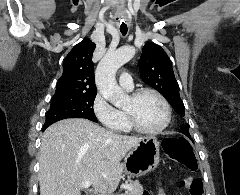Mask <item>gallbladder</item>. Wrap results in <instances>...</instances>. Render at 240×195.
<instances>
[{
	"instance_id": "obj_1",
	"label": "gallbladder",
	"mask_w": 240,
	"mask_h": 195,
	"mask_svg": "<svg viewBox=\"0 0 240 195\" xmlns=\"http://www.w3.org/2000/svg\"><path fill=\"white\" fill-rule=\"evenodd\" d=\"M82 195H91V191L90 190H85Z\"/></svg>"
}]
</instances>
